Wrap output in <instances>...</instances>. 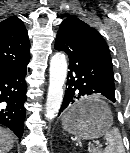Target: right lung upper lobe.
<instances>
[{
    "label": "right lung upper lobe",
    "mask_w": 130,
    "mask_h": 153,
    "mask_svg": "<svg viewBox=\"0 0 130 153\" xmlns=\"http://www.w3.org/2000/svg\"><path fill=\"white\" fill-rule=\"evenodd\" d=\"M30 60V42L22 20L11 16L0 22V71L20 68Z\"/></svg>",
    "instance_id": "right-lung-upper-lobe-1"
}]
</instances>
